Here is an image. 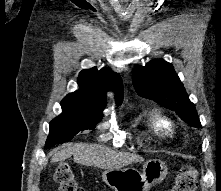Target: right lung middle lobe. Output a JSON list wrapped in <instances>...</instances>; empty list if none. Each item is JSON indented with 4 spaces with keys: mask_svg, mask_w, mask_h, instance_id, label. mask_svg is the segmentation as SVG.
<instances>
[{
    "mask_svg": "<svg viewBox=\"0 0 221 191\" xmlns=\"http://www.w3.org/2000/svg\"><path fill=\"white\" fill-rule=\"evenodd\" d=\"M63 112L50 122V132L45 148L71 140L82 130H92L100 122L102 113L62 109Z\"/></svg>",
    "mask_w": 221,
    "mask_h": 191,
    "instance_id": "dd1d6c3e",
    "label": "right lung middle lobe"
}]
</instances>
